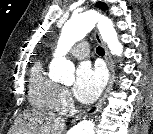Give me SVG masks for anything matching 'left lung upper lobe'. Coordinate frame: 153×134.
<instances>
[{"label": "left lung upper lobe", "mask_w": 153, "mask_h": 134, "mask_svg": "<svg viewBox=\"0 0 153 134\" xmlns=\"http://www.w3.org/2000/svg\"><path fill=\"white\" fill-rule=\"evenodd\" d=\"M96 6L102 10H107V5L102 2H97Z\"/></svg>", "instance_id": "1"}]
</instances>
